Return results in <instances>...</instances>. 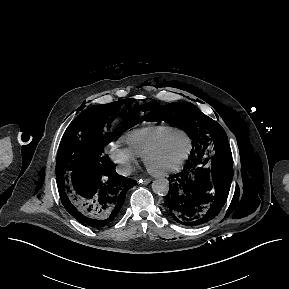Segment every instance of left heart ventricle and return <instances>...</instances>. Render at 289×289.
I'll use <instances>...</instances> for the list:
<instances>
[{
  "label": "left heart ventricle",
  "mask_w": 289,
  "mask_h": 289,
  "mask_svg": "<svg viewBox=\"0 0 289 289\" xmlns=\"http://www.w3.org/2000/svg\"><path fill=\"white\" fill-rule=\"evenodd\" d=\"M187 148V140L183 136H175L150 159V166L155 170H163L177 164Z\"/></svg>",
  "instance_id": "1"
}]
</instances>
